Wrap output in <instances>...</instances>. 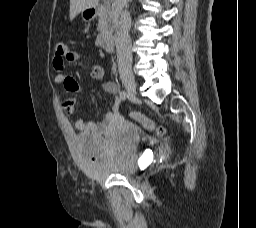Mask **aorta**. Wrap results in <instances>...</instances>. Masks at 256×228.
<instances>
[{
    "instance_id": "762f6f07",
    "label": "aorta",
    "mask_w": 256,
    "mask_h": 228,
    "mask_svg": "<svg viewBox=\"0 0 256 228\" xmlns=\"http://www.w3.org/2000/svg\"><path fill=\"white\" fill-rule=\"evenodd\" d=\"M122 20L125 24V26L130 29V26H131V19H130V15L127 11L123 12L122 14Z\"/></svg>"
}]
</instances>
